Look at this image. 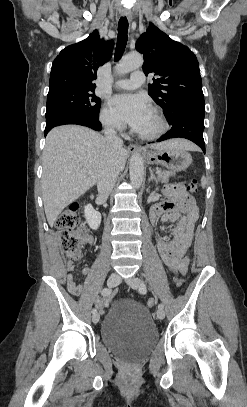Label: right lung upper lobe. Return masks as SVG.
<instances>
[{
    "label": "right lung upper lobe",
    "instance_id": "obj_1",
    "mask_svg": "<svg viewBox=\"0 0 247 407\" xmlns=\"http://www.w3.org/2000/svg\"><path fill=\"white\" fill-rule=\"evenodd\" d=\"M113 45V41L100 39L95 30L87 39L63 49L52 64L49 92L95 89L97 69L111 57Z\"/></svg>",
    "mask_w": 247,
    "mask_h": 407
}]
</instances>
